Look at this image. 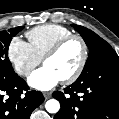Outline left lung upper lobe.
I'll return each mask as SVG.
<instances>
[{"mask_svg": "<svg viewBox=\"0 0 119 119\" xmlns=\"http://www.w3.org/2000/svg\"><path fill=\"white\" fill-rule=\"evenodd\" d=\"M72 26L82 36L90 51L87 62L79 78L87 76L92 70L103 65L119 62L118 55L104 39L83 26L75 24H72Z\"/></svg>", "mask_w": 119, "mask_h": 119, "instance_id": "1", "label": "left lung upper lobe"}]
</instances>
